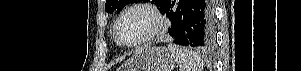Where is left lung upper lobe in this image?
I'll return each instance as SVG.
<instances>
[{"mask_svg":"<svg viewBox=\"0 0 301 71\" xmlns=\"http://www.w3.org/2000/svg\"><path fill=\"white\" fill-rule=\"evenodd\" d=\"M134 0H106L105 11L108 13H113L114 10H117V13L122 10V8ZM150 1V0H148ZM161 9L165 6L168 0H153Z\"/></svg>","mask_w":301,"mask_h":71,"instance_id":"5c2ea615","label":"left lung upper lobe"}]
</instances>
